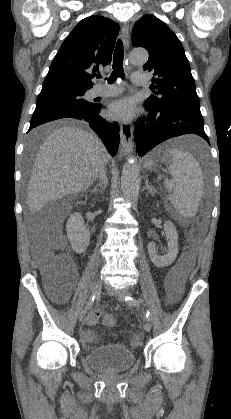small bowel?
<instances>
[{
	"instance_id": "c3829d8e",
	"label": "small bowel",
	"mask_w": 231,
	"mask_h": 419,
	"mask_svg": "<svg viewBox=\"0 0 231 419\" xmlns=\"http://www.w3.org/2000/svg\"><path fill=\"white\" fill-rule=\"evenodd\" d=\"M75 281V273L73 275V277L70 279L69 283H68V288L63 292L61 299H64L65 295H66V291L69 289V287H71L73 285ZM167 290H168V296H167V302L169 304H172L174 302L177 301L179 294H180V289L179 286L177 284V281L174 278H170L167 281ZM101 316V311L96 309L93 310L88 317L86 318L85 322H84V326L81 329V337H82V341L83 344L86 347H90L91 344L94 342L95 340V332L93 330L90 329V327L96 325L98 323V320Z\"/></svg>"
}]
</instances>
